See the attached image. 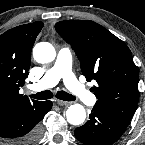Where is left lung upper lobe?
Listing matches in <instances>:
<instances>
[{
  "label": "left lung upper lobe",
  "instance_id": "1",
  "mask_svg": "<svg viewBox=\"0 0 145 145\" xmlns=\"http://www.w3.org/2000/svg\"><path fill=\"white\" fill-rule=\"evenodd\" d=\"M81 62L87 81L95 80L94 107L129 122L138 99V68L127 45L89 20L60 21L55 25Z\"/></svg>",
  "mask_w": 145,
  "mask_h": 145
}]
</instances>
